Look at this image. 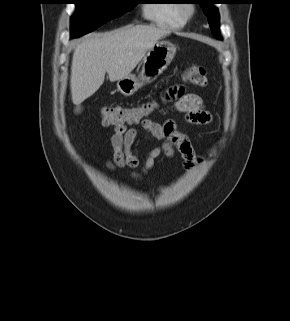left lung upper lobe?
Listing matches in <instances>:
<instances>
[{
	"label": "left lung upper lobe",
	"instance_id": "left-lung-upper-lobe-1",
	"mask_svg": "<svg viewBox=\"0 0 290 321\" xmlns=\"http://www.w3.org/2000/svg\"><path fill=\"white\" fill-rule=\"evenodd\" d=\"M199 4L203 7L204 13L208 18L211 32L219 37V14L217 8L213 6L214 0H199Z\"/></svg>",
	"mask_w": 290,
	"mask_h": 321
}]
</instances>
